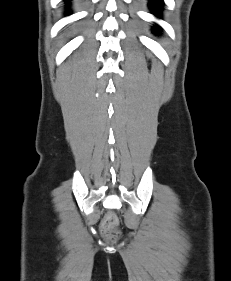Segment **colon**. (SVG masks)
Instances as JSON below:
<instances>
[{
  "label": "colon",
  "instance_id": "1",
  "mask_svg": "<svg viewBox=\"0 0 231 281\" xmlns=\"http://www.w3.org/2000/svg\"><path fill=\"white\" fill-rule=\"evenodd\" d=\"M116 224H117V218L114 215L111 214L107 216L102 224V229L104 233L109 237L116 236L117 235L115 231Z\"/></svg>",
  "mask_w": 231,
  "mask_h": 281
}]
</instances>
